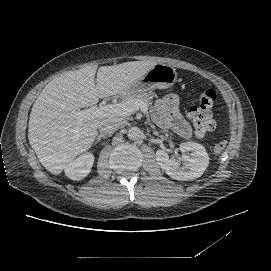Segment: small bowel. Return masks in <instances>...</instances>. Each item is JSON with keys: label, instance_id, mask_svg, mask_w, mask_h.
<instances>
[{"label": "small bowel", "instance_id": "small-bowel-1", "mask_svg": "<svg viewBox=\"0 0 271 271\" xmlns=\"http://www.w3.org/2000/svg\"><path fill=\"white\" fill-rule=\"evenodd\" d=\"M157 106L167 123L181 136L189 137L190 127L179 113V100L175 95H168L158 100Z\"/></svg>", "mask_w": 271, "mask_h": 271}]
</instances>
